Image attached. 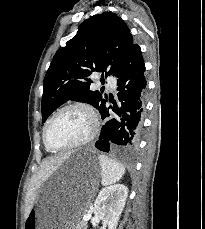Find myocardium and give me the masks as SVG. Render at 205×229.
Wrapping results in <instances>:
<instances>
[{"label": "myocardium", "instance_id": "obj_1", "mask_svg": "<svg viewBox=\"0 0 205 229\" xmlns=\"http://www.w3.org/2000/svg\"><path fill=\"white\" fill-rule=\"evenodd\" d=\"M69 109H78V110H81L84 113H86L90 119V130H89L88 134L83 139H81L75 143H72L70 145H66L63 147H53L50 145V143L48 141L49 129H50L51 125L53 124V122L55 121V119L61 113H63L66 110H69ZM98 127H99L98 117L92 108H90L88 105H86L84 103H80V102L69 103V104H66V105L62 106L61 108H59L52 115V117L49 119V121L47 122V124L44 128V131H43V141H44L45 147L48 150L53 151V152H60V151H66V150L78 148V147L86 145L96 136L97 131H98Z\"/></svg>", "mask_w": 205, "mask_h": 229}]
</instances>
